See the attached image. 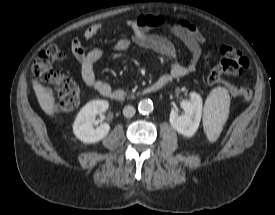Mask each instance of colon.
I'll return each mask as SVG.
<instances>
[{
    "label": "colon",
    "instance_id": "colon-1",
    "mask_svg": "<svg viewBox=\"0 0 275 215\" xmlns=\"http://www.w3.org/2000/svg\"><path fill=\"white\" fill-rule=\"evenodd\" d=\"M221 62L207 74L206 80L210 85L225 84L222 75L238 76L248 67L247 58L233 46L222 45ZM64 53L58 45H50L43 50L32 66L33 74L54 87L57 92L55 108L59 112L68 113L78 107L81 100V88L71 77L53 69V64L61 61ZM230 91L237 98L247 101L252 97V91L246 87H232Z\"/></svg>",
    "mask_w": 275,
    "mask_h": 215
}]
</instances>
